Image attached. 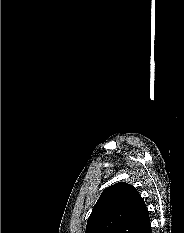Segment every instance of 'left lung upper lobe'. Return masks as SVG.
<instances>
[{"instance_id": "5c2ea615", "label": "left lung upper lobe", "mask_w": 184, "mask_h": 233, "mask_svg": "<svg viewBox=\"0 0 184 233\" xmlns=\"http://www.w3.org/2000/svg\"><path fill=\"white\" fill-rule=\"evenodd\" d=\"M149 223L148 210L137 189L118 182L102 192L85 233H144Z\"/></svg>"}]
</instances>
